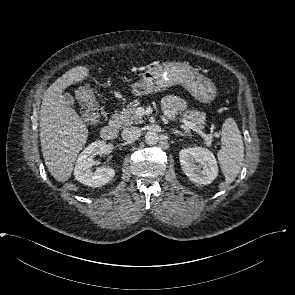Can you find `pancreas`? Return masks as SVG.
<instances>
[{
  "instance_id": "1",
  "label": "pancreas",
  "mask_w": 295,
  "mask_h": 295,
  "mask_svg": "<svg viewBox=\"0 0 295 295\" xmlns=\"http://www.w3.org/2000/svg\"><path fill=\"white\" fill-rule=\"evenodd\" d=\"M140 106L138 100L130 102L123 108L119 114L113 117L112 123L116 127H127L142 123V118L137 114V108ZM185 120L195 124L197 127L204 128L206 115L196 110H188L182 113Z\"/></svg>"
}]
</instances>
